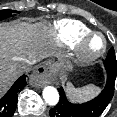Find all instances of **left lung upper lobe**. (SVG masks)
Returning <instances> with one entry per match:
<instances>
[{
    "label": "left lung upper lobe",
    "mask_w": 117,
    "mask_h": 117,
    "mask_svg": "<svg viewBox=\"0 0 117 117\" xmlns=\"http://www.w3.org/2000/svg\"><path fill=\"white\" fill-rule=\"evenodd\" d=\"M104 65L106 67L117 68V61H116V57H115L114 48H111L109 50L107 58L104 61Z\"/></svg>",
    "instance_id": "1"
}]
</instances>
